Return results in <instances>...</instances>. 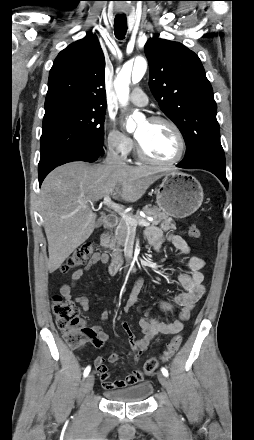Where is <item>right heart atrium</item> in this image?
I'll return each mask as SVG.
<instances>
[{
	"label": "right heart atrium",
	"mask_w": 254,
	"mask_h": 440,
	"mask_svg": "<svg viewBox=\"0 0 254 440\" xmlns=\"http://www.w3.org/2000/svg\"><path fill=\"white\" fill-rule=\"evenodd\" d=\"M107 147L123 157H127L134 148L133 139L123 131L110 125L106 134Z\"/></svg>",
	"instance_id": "1"
}]
</instances>
